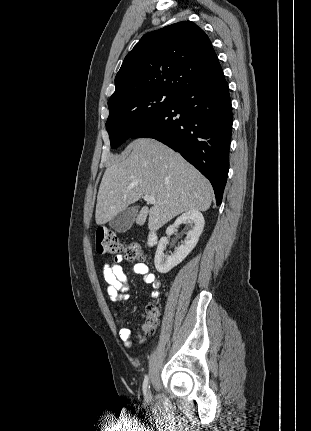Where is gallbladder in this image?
Instances as JSON below:
<instances>
[{
	"label": "gallbladder",
	"mask_w": 311,
	"mask_h": 431,
	"mask_svg": "<svg viewBox=\"0 0 311 431\" xmlns=\"http://www.w3.org/2000/svg\"><path fill=\"white\" fill-rule=\"evenodd\" d=\"M138 208L139 206H135V208H127L124 212H120L117 216L112 217L109 221L110 227L115 229L117 233H124V231L130 229L138 214Z\"/></svg>",
	"instance_id": "gallbladder-1"
}]
</instances>
